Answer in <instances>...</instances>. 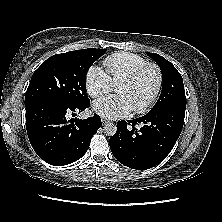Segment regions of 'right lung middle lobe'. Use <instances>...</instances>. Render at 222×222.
Wrapping results in <instances>:
<instances>
[{
  "instance_id": "right-lung-middle-lobe-1",
  "label": "right lung middle lobe",
  "mask_w": 222,
  "mask_h": 222,
  "mask_svg": "<svg viewBox=\"0 0 222 222\" xmlns=\"http://www.w3.org/2000/svg\"><path fill=\"white\" fill-rule=\"evenodd\" d=\"M106 49L88 48L56 54L34 72L25 94V106L41 100L76 104L88 100L86 74Z\"/></svg>"
}]
</instances>
